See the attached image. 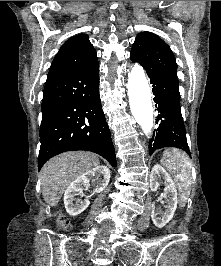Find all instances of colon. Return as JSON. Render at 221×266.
<instances>
[{
    "instance_id": "colon-1",
    "label": "colon",
    "mask_w": 221,
    "mask_h": 266,
    "mask_svg": "<svg viewBox=\"0 0 221 266\" xmlns=\"http://www.w3.org/2000/svg\"><path fill=\"white\" fill-rule=\"evenodd\" d=\"M59 225L61 228L67 230L70 228V223L66 217H60L59 218Z\"/></svg>"
}]
</instances>
